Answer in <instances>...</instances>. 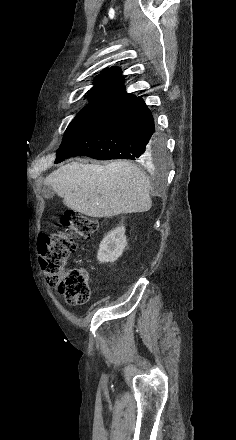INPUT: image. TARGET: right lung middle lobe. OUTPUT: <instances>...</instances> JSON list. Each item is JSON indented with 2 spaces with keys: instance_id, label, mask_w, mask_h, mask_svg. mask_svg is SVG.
Instances as JSON below:
<instances>
[{
  "instance_id": "right-lung-middle-lobe-1",
  "label": "right lung middle lobe",
  "mask_w": 236,
  "mask_h": 440,
  "mask_svg": "<svg viewBox=\"0 0 236 440\" xmlns=\"http://www.w3.org/2000/svg\"><path fill=\"white\" fill-rule=\"evenodd\" d=\"M114 109L111 106L104 105H96V104H88L86 105L72 120V122L67 127L63 141L60 145L63 146L73 137L77 136L81 132L88 129L92 126L96 121H98L105 114ZM165 159V148L162 142L156 141L155 147L151 154L147 158V162H155L160 163Z\"/></svg>"
}]
</instances>
